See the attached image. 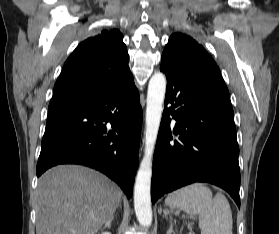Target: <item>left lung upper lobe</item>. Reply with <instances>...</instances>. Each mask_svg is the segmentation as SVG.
Wrapping results in <instances>:
<instances>
[{"instance_id": "1", "label": "left lung upper lobe", "mask_w": 279, "mask_h": 234, "mask_svg": "<svg viewBox=\"0 0 279 234\" xmlns=\"http://www.w3.org/2000/svg\"><path fill=\"white\" fill-rule=\"evenodd\" d=\"M163 54L171 56L194 70L221 76L220 70L213 58L202 45L198 44L197 41L188 35L182 33L172 34Z\"/></svg>"}]
</instances>
